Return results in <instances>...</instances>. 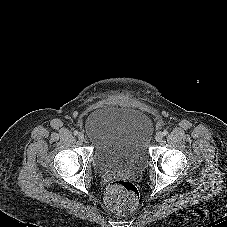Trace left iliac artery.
Listing matches in <instances>:
<instances>
[{"label": "left iliac artery", "mask_w": 227, "mask_h": 227, "mask_svg": "<svg viewBox=\"0 0 227 227\" xmlns=\"http://www.w3.org/2000/svg\"><path fill=\"white\" fill-rule=\"evenodd\" d=\"M167 134H168V131L164 130L163 135H167Z\"/></svg>", "instance_id": "1"}]
</instances>
